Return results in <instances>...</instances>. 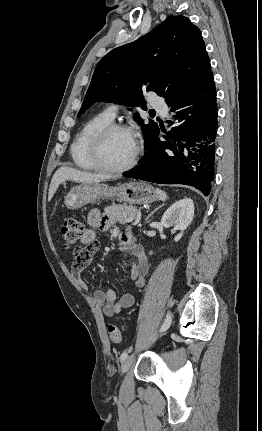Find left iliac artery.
Masks as SVG:
<instances>
[{
  "label": "left iliac artery",
  "instance_id": "44dca946",
  "mask_svg": "<svg viewBox=\"0 0 262 431\" xmlns=\"http://www.w3.org/2000/svg\"><path fill=\"white\" fill-rule=\"evenodd\" d=\"M171 320H172L171 313L168 312L167 315H166V319H165L163 325L161 326L160 331L167 330L169 328L170 324H171ZM126 358H127V353L126 352L122 353V355L120 356V359L122 361H124Z\"/></svg>",
  "mask_w": 262,
  "mask_h": 431
}]
</instances>
